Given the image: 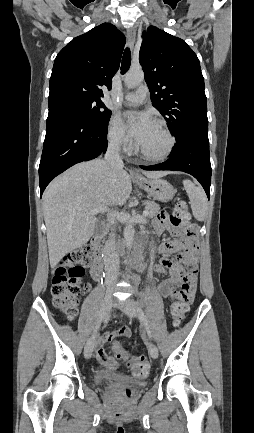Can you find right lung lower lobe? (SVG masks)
Wrapping results in <instances>:
<instances>
[{"label":"right lung lower lobe","mask_w":254,"mask_h":433,"mask_svg":"<svg viewBox=\"0 0 254 433\" xmlns=\"http://www.w3.org/2000/svg\"><path fill=\"white\" fill-rule=\"evenodd\" d=\"M108 121L98 123L80 113L50 108L39 165L40 194L57 175L82 161L105 153Z\"/></svg>","instance_id":"obj_1"}]
</instances>
